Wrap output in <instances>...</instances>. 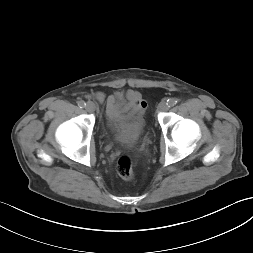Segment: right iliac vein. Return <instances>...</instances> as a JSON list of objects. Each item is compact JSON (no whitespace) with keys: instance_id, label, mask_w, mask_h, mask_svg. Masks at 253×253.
<instances>
[{"instance_id":"63e3f726","label":"right iliac vein","mask_w":253,"mask_h":253,"mask_svg":"<svg viewBox=\"0 0 253 253\" xmlns=\"http://www.w3.org/2000/svg\"><path fill=\"white\" fill-rule=\"evenodd\" d=\"M85 109L88 112H93L95 110V104L93 102H87Z\"/></svg>"}]
</instances>
